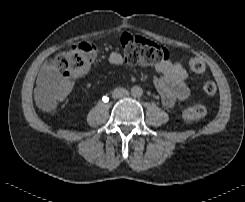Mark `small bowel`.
<instances>
[{
    "label": "small bowel",
    "instance_id": "obj_1",
    "mask_svg": "<svg viewBox=\"0 0 245 202\" xmlns=\"http://www.w3.org/2000/svg\"><path fill=\"white\" fill-rule=\"evenodd\" d=\"M107 59L112 65H120L123 62L122 55L117 51H111ZM155 69L158 75L154 84L166 107H173L177 101H186L189 98L188 73L179 62L165 60L158 63ZM53 81L54 76L51 72H41L37 77V92ZM66 86L70 94L74 86L71 78L66 79Z\"/></svg>",
    "mask_w": 245,
    "mask_h": 202
}]
</instances>
